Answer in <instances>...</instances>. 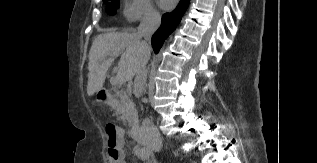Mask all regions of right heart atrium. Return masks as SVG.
<instances>
[{"instance_id":"d8ad5b80","label":"right heart atrium","mask_w":317,"mask_h":163,"mask_svg":"<svg viewBox=\"0 0 317 163\" xmlns=\"http://www.w3.org/2000/svg\"><path fill=\"white\" fill-rule=\"evenodd\" d=\"M122 11L128 23L141 19H153L159 15L151 0H123Z\"/></svg>"}]
</instances>
